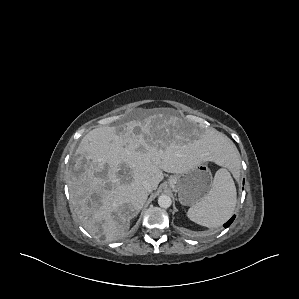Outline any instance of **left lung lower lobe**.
Masks as SVG:
<instances>
[{"label": "left lung lower lobe", "instance_id": "left-lung-lower-lobe-1", "mask_svg": "<svg viewBox=\"0 0 299 299\" xmlns=\"http://www.w3.org/2000/svg\"><path fill=\"white\" fill-rule=\"evenodd\" d=\"M235 217H236V216L234 215L228 222H226V223L224 224V227H225V228L229 227V226L231 225V223L234 221Z\"/></svg>", "mask_w": 299, "mask_h": 299}]
</instances>
